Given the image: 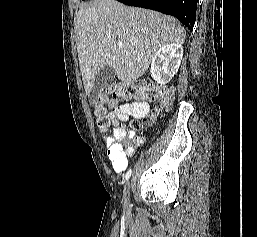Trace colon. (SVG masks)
Returning a JSON list of instances; mask_svg holds the SVG:
<instances>
[{
	"label": "colon",
	"mask_w": 257,
	"mask_h": 237,
	"mask_svg": "<svg viewBox=\"0 0 257 237\" xmlns=\"http://www.w3.org/2000/svg\"><path fill=\"white\" fill-rule=\"evenodd\" d=\"M115 94L114 100H109L108 95ZM171 97L170 90L167 88H159L147 83H118L112 90L101 92L96 100L94 114L98 128L105 132L109 128L111 122V110L121 101L132 100H150L158 101V108L161 109L166 106ZM133 129H140L141 123L133 121L131 123ZM124 134L112 135L107 139V144L111 142L122 141Z\"/></svg>",
	"instance_id": "1"
}]
</instances>
